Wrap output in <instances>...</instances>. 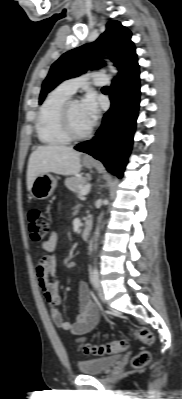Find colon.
<instances>
[{"instance_id": "obj_1", "label": "colon", "mask_w": 182, "mask_h": 399, "mask_svg": "<svg viewBox=\"0 0 182 399\" xmlns=\"http://www.w3.org/2000/svg\"><path fill=\"white\" fill-rule=\"evenodd\" d=\"M28 225L30 237L34 241H42L46 238L50 229V220L48 216L40 209H31L28 212ZM136 338L145 344L154 342L153 333L147 328H138L133 331ZM128 348V342L125 339L113 340L104 344H82L81 350L85 354L91 355H110L125 351ZM151 355L148 351L143 350L136 354L132 359L134 368H141L149 363Z\"/></svg>"}]
</instances>
